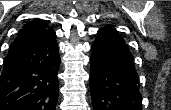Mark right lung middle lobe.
Returning a JSON list of instances; mask_svg holds the SVG:
<instances>
[{
    "label": "right lung middle lobe",
    "instance_id": "obj_1",
    "mask_svg": "<svg viewBox=\"0 0 171 110\" xmlns=\"http://www.w3.org/2000/svg\"><path fill=\"white\" fill-rule=\"evenodd\" d=\"M12 60H13V58H11V57H6V58L4 59V65L10 63Z\"/></svg>",
    "mask_w": 171,
    "mask_h": 110
}]
</instances>
